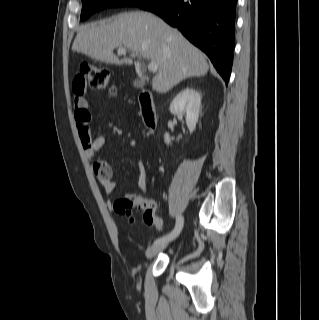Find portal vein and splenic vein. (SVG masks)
I'll return each instance as SVG.
<instances>
[{
	"instance_id": "obj_1",
	"label": "portal vein and splenic vein",
	"mask_w": 319,
	"mask_h": 320,
	"mask_svg": "<svg viewBox=\"0 0 319 320\" xmlns=\"http://www.w3.org/2000/svg\"><path fill=\"white\" fill-rule=\"evenodd\" d=\"M118 53L124 54V53H126V49L124 47H120L118 50ZM148 70L153 73L157 72L158 71V64L155 62H150L148 64Z\"/></svg>"
}]
</instances>
